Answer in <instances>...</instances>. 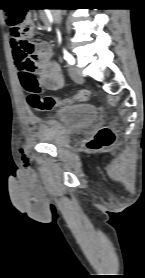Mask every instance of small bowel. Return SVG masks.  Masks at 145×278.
<instances>
[{
	"mask_svg": "<svg viewBox=\"0 0 145 278\" xmlns=\"http://www.w3.org/2000/svg\"><path fill=\"white\" fill-rule=\"evenodd\" d=\"M42 19L46 16L42 15ZM33 24L30 22L29 33H32ZM12 58L20 80L24 75L33 73L36 69L41 75L42 85L51 91L60 89L63 86L64 78L60 66L50 61L51 51L46 43H39L35 57L31 52L21 49L20 39L12 37L11 40ZM30 121L36 123L38 119L31 115Z\"/></svg>",
	"mask_w": 145,
	"mask_h": 278,
	"instance_id": "obj_1",
	"label": "small bowel"
}]
</instances>
